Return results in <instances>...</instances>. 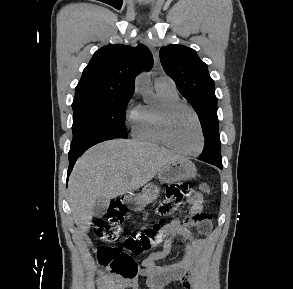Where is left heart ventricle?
I'll return each mask as SVG.
<instances>
[{"mask_svg":"<svg viewBox=\"0 0 293 289\" xmlns=\"http://www.w3.org/2000/svg\"><path fill=\"white\" fill-rule=\"evenodd\" d=\"M170 138L174 145L186 152H194L199 147L200 135L196 121L186 110H178L169 125Z\"/></svg>","mask_w":293,"mask_h":289,"instance_id":"obj_1","label":"left heart ventricle"}]
</instances>
